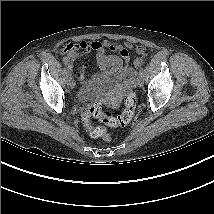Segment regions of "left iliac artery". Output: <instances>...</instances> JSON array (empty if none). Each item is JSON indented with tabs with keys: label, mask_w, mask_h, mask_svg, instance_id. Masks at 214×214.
<instances>
[{
	"label": "left iliac artery",
	"mask_w": 214,
	"mask_h": 214,
	"mask_svg": "<svg viewBox=\"0 0 214 214\" xmlns=\"http://www.w3.org/2000/svg\"><path fill=\"white\" fill-rule=\"evenodd\" d=\"M143 73H142V71L140 70V72H139V75H142Z\"/></svg>",
	"instance_id": "1"
}]
</instances>
